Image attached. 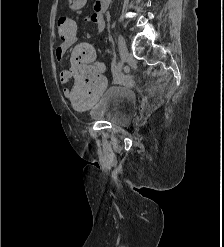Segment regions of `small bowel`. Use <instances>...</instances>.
Returning a JSON list of instances; mask_svg holds the SVG:
<instances>
[{
  "instance_id": "obj_1",
  "label": "small bowel",
  "mask_w": 224,
  "mask_h": 247,
  "mask_svg": "<svg viewBox=\"0 0 224 247\" xmlns=\"http://www.w3.org/2000/svg\"><path fill=\"white\" fill-rule=\"evenodd\" d=\"M85 2L86 0H69L70 7L72 9H80L85 4ZM85 21L96 24L98 33H101L106 26V20L103 13L96 11L95 8L92 13L88 14L85 17ZM75 43H76V38L63 40L62 43L55 50V58L58 61H61L67 50L71 48ZM69 78H70L69 71L64 70L60 73L61 84L63 85L67 84ZM63 94L65 97L69 98L70 90L68 88H65L63 90Z\"/></svg>"
}]
</instances>
